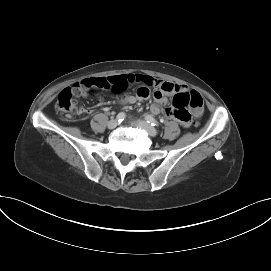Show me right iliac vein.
<instances>
[{"instance_id":"63e3f726","label":"right iliac vein","mask_w":271,"mask_h":271,"mask_svg":"<svg viewBox=\"0 0 271 271\" xmlns=\"http://www.w3.org/2000/svg\"><path fill=\"white\" fill-rule=\"evenodd\" d=\"M117 126H118V121H117V120L112 119V120H110V121L108 122V128H109V129H114V128H116Z\"/></svg>"}]
</instances>
